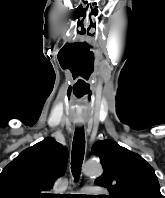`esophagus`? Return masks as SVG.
<instances>
[{
	"label": "esophagus",
	"instance_id": "34e87169",
	"mask_svg": "<svg viewBox=\"0 0 165 198\" xmlns=\"http://www.w3.org/2000/svg\"><path fill=\"white\" fill-rule=\"evenodd\" d=\"M82 125H83L82 123H78V124H77L78 127H81Z\"/></svg>",
	"mask_w": 165,
	"mask_h": 198
}]
</instances>
